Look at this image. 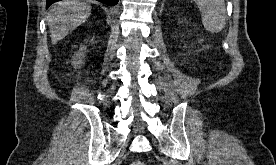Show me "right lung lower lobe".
<instances>
[{
    "label": "right lung lower lobe",
    "mask_w": 276,
    "mask_h": 165,
    "mask_svg": "<svg viewBox=\"0 0 276 165\" xmlns=\"http://www.w3.org/2000/svg\"><path fill=\"white\" fill-rule=\"evenodd\" d=\"M57 1H60V0H46V8H48L52 3L57 2ZM97 1H100L109 6H113V5H116L119 0H97Z\"/></svg>",
    "instance_id": "obj_1"
}]
</instances>
